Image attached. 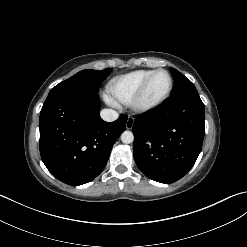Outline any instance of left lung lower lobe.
Returning <instances> with one entry per match:
<instances>
[{"label":"left lung lower lobe","instance_id":"0a47b994","mask_svg":"<svg viewBox=\"0 0 247 247\" xmlns=\"http://www.w3.org/2000/svg\"><path fill=\"white\" fill-rule=\"evenodd\" d=\"M134 159L140 171L160 183H172L193 167L205 133L199 94L171 97L157 110L137 116L133 125Z\"/></svg>","mask_w":247,"mask_h":247}]
</instances>
